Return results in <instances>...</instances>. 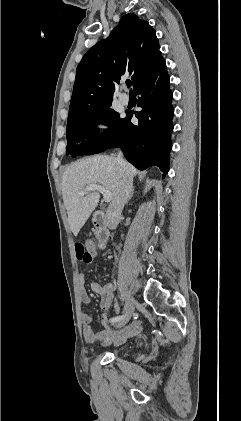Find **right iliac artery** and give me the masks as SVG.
<instances>
[{
	"label": "right iliac artery",
	"instance_id": "82829eb1",
	"mask_svg": "<svg viewBox=\"0 0 241 421\" xmlns=\"http://www.w3.org/2000/svg\"><path fill=\"white\" fill-rule=\"evenodd\" d=\"M125 316H126V315L113 317V318H111V319H110V322H119V321H121L122 319H124V318H125Z\"/></svg>",
	"mask_w": 241,
	"mask_h": 421
}]
</instances>
